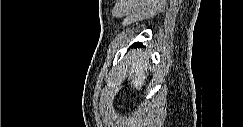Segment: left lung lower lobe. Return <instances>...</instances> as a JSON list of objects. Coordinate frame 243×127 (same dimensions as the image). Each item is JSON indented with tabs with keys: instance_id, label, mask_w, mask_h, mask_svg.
Returning a JSON list of instances; mask_svg holds the SVG:
<instances>
[{
	"instance_id": "left-lung-lower-lobe-1",
	"label": "left lung lower lobe",
	"mask_w": 243,
	"mask_h": 127,
	"mask_svg": "<svg viewBox=\"0 0 243 127\" xmlns=\"http://www.w3.org/2000/svg\"><path fill=\"white\" fill-rule=\"evenodd\" d=\"M141 47V43L140 42H136V43H134L131 47Z\"/></svg>"
}]
</instances>
